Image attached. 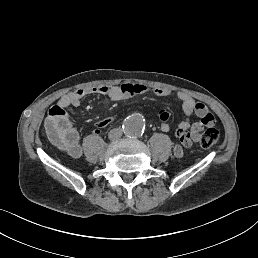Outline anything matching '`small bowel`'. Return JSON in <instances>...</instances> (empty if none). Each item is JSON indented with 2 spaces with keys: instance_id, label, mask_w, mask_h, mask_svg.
Wrapping results in <instances>:
<instances>
[{
  "instance_id": "small-bowel-1",
  "label": "small bowel",
  "mask_w": 258,
  "mask_h": 258,
  "mask_svg": "<svg viewBox=\"0 0 258 258\" xmlns=\"http://www.w3.org/2000/svg\"><path fill=\"white\" fill-rule=\"evenodd\" d=\"M153 93L161 97H176L182 104V110L186 116L177 127L176 137L180 144L175 145L173 152L177 157L183 155V147H190L193 143L200 140V133L206 127H214L216 120L209 112L206 105L196 101L189 94L184 92H174L168 88H149L143 84L124 83L121 85L112 86H96L78 89L69 94L62 96L58 102L53 105L49 111L45 121V129L50 141L60 150L67 152L73 158H79L82 155L80 145V137L77 130L72 126L67 108L78 107L82 99L90 94H101L108 96L113 101H120L128 97ZM195 115L199 121L191 124L189 118ZM170 113L166 109H161L159 118L161 120V130L168 132L170 125L168 119ZM116 120V116H107L96 123L95 133H99L101 129L107 127Z\"/></svg>"
}]
</instances>
